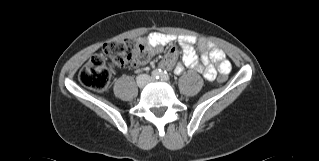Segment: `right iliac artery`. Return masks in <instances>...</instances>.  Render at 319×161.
Returning a JSON list of instances; mask_svg holds the SVG:
<instances>
[{"label": "right iliac artery", "instance_id": "1", "mask_svg": "<svg viewBox=\"0 0 319 161\" xmlns=\"http://www.w3.org/2000/svg\"><path fill=\"white\" fill-rule=\"evenodd\" d=\"M151 76L154 78V79H159L160 76H161V69H155L152 71L151 73Z\"/></svg>", "mask_w": 319, "mask_h": 161}]
</instances>
